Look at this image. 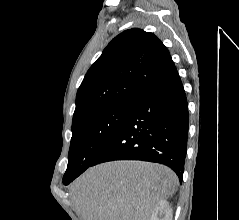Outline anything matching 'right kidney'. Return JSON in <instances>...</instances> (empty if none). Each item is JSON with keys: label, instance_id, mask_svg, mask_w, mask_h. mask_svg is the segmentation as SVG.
<instances>
[{"label": "right kidney", "instance_id": "right-kidney-1", "mask_svg": "<svg viewBox=\"0 0 239 220\" xmlns=\"http://www.w3.org/2000/svg\"><path fill=\"white\" fill-rule=\"evenodd\" d=\"M150 220H172V209L165 200L160 201L152 212Z\"/></svg>", "mask_w": 239, "mask_h": 220}]
</instances>
